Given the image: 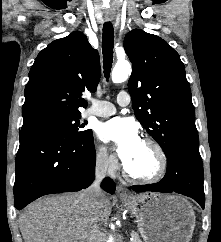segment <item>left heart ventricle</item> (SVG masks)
Returning a JSON list of instances; mask_svg holds the SVG:
<instances>
[{
    "label": "left heart ventricle",
    "mask_w": 221,
    "mask_h": 242,
    "mask_svg": "<svg viewBox=\"0 0 221 242\" xmlns=\"http://www.w3.org/2000/svg\"><path fill=\"white\" fill-rule=\"evenodd\" d=\"M126 164L132 172L139 175H148L155 170L156 159L152 149L141 142L137 151Z\"/></svg>",
    "instance_id": "b2bd125f"
}]
</instances>
